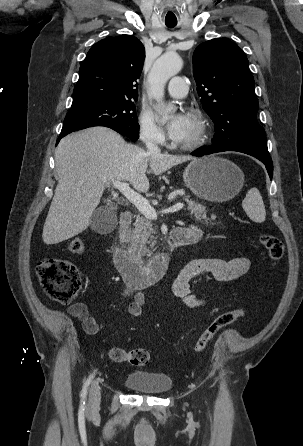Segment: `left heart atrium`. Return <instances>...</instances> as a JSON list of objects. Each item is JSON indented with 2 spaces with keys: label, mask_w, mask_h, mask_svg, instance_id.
<instances>
[{
  "label": "left heart atrium",
  "mask_w": 303,
  "mask_h": 446,
  "mask_svg": "<svg viewBox=\"0 0 303 446\" xmlns=\"http://www.w3.org/2000/svg\"><path fill=\"white\" fill-rule=\"evenodd\" d=\"M188 123L187 115L179 113L172 116L166 126L168 136L175 141L182 139L186 132Z\"/></svg>",
  "instance_id": "39dd6f15"
}]
</instances>
